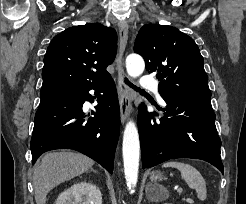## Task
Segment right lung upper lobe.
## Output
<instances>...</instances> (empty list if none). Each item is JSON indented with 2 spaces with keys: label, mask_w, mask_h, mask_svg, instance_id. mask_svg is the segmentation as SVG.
I'll return each instance as SVG.
<instances>
[{
  "label": "right lung upper lobe",
  "mask_w": 246,
  "mask_h": 204,
  "mask_svg": "<svg viewBox=\"0 0 246 204\" xmlns=\"http://www.w3.org/2000/svg\"><path fill=\"white\" fill-rule=\"evenodd\" d=\"M116 51L117 34L112 28L94 23L66 29L48 46L41 93L109 80L106 67L114 61Z\"/></svg>",
  "instance_id": "1"
}]
</instances>
